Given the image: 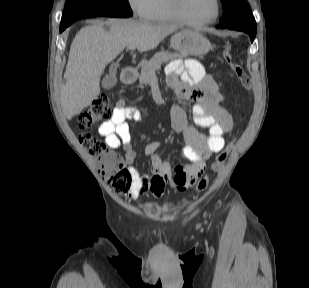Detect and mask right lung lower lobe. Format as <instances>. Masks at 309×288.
<instances>
[{
  "mask_svg": "<svg viewBox=\"0 0 309 288\" xmlns=\"http://www.w3.org/2000/svg\"><path fill=\"white\" fill-rule=\"evenodd\" d=\"M95 16H108V17H130L131 15L125 12L119 11H94L90 12L83 18L95 17ZM66 27H60V32H62Z\"/></svg>",
  "mask_w": 309,
  "mask_h": 288,
  "instance_id": "1",
  "label": "right lung lower lobe"
}]
</instances>
